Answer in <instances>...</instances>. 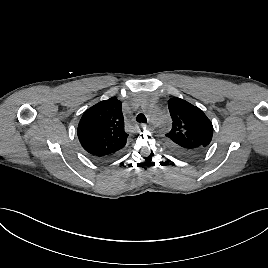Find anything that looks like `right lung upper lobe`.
<instances>
[{
  "instance_id": "obj_1",
  "label": "right lung upper lobe",
  "mask_w": 268,
  "mask_h": 268,
  "mask_svg": "<svg viewBox=\"0 0 268 268\" xmlns=\"http://www.w3.org/2000/svg\"><path fill=\"white\" fill-rule=\"evenodd\" d=\"M122 103L116 97L87 109L78 125L79 141L92 156L117 154L126 145Z\"/></svg>"
}]
</instances>
